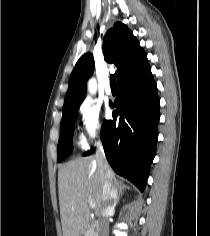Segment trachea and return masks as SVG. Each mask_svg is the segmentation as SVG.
Here are the masks:
<instances>
[{"label": "trachea", "instance_id": "3493384b", "mask_svg": "<svg viewBox=\"0 0 210 236\" xmlns=\"http://www.w3.org/2000/svg\"><path fill=\"white\" fill-rule=\"evenodd\" d=\"M110 85L112 88H116V76L115 74L110 75Z\"/></svg>", "mask_w": 210, "mask_h": 236}]
</instances>
